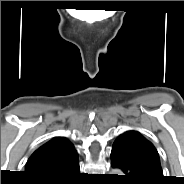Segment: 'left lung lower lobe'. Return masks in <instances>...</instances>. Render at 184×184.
Wrapping results in <instances>:
<instances>
[{"instance_id":"1","label":"left lung lower lobe","mask_w":184,"mask_h":184,"mask_svg":"<svg viewBox=\"0 0 184 184\" xmlns=\"http://www.w3.org/2000/svg\"><path fill=\"white\" fill-rule=\"evenodd\" d=\"M111 165L120 168L125 173L120 178L123 183L160 184L164 180L150 163L133 155L128 149L118 144H113Z\"/></svg>"}]
</instances>
